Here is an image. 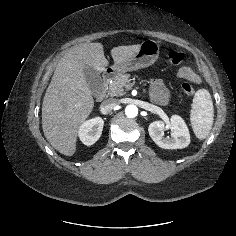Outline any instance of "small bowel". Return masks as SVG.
Wrapping results in <instances>:
<instances>
[{
	"instance_id": "small-bowel-1",
	"label": "small bowel",
	"mask_w": 236,
	"mask_h": 236,
	"mask_svg": "<svg viewBox=\"0 0 236 236\" xmlns=\"http://www.w3.org/2000/svg\"><path fill=\"white\" fill-rule=\"evenodd\" d=\"M179 77L198 82V75L190 67H182L178 72ZM150 95L154 102L158 104H166L170 99V93L165 83L160 79H152L150 81Z\"/></svg>"
}]
</instances>
